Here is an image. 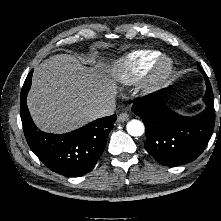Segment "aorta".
Returning a JSON list of instances; mask_svg holds the SVG:
<instances>
[{"label": "aorta", "instance_id": "762f6f07", "mask_svg": "<svg viewBox=\"0 0 221 221\" xmlns=\"http://www.w3.org/2000/svg\"><path fill=\"white\" fill-rule=\"evenodd\" d=\"M126 130L131 136L137 137L143 135L145 127L141 121L133 119L127 123Z\"/></svg>", "mask_w": 221, "mask_h": 221}]
</instances>
